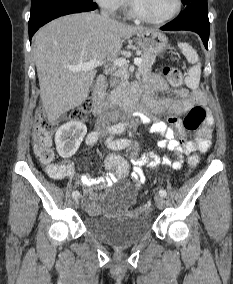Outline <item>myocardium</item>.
<instances>
[{
    "label": "myocardium",
    "instance_id": "obj_1",
    "mask_svg": "<svg viewBox=\"0 0 233 284\" xmlns=\"http://www.w3.org/2000/svg\"><path fill=\"white\" fill-rule=\"evenodd\" d=\"M128 7H129V12L130 14L145 23H149V24H155V25H159V24H164L167 23L169 21H171L172 19H174L181 11L182 8V0H175V5L174 8L172 9V11L167 14L166 16L162 17V18H150L146 15H144L143 13H141L134 0H128Z\"/></svg>",
    "mask_w": 233,
    "mask_h": 284
}]
</instances>
